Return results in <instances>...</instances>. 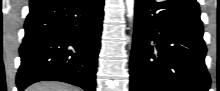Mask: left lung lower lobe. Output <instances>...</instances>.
<instances>
[{"label": "left lung lower lobe", "mask_w": 220, "mask_h": 91, "mask_svg": "<svg viewBox=\"0 0 220 91\" xmlns=\"http://www.w3.org/2000/svg\"><path fill=\"white\" fill-rule=\"evenodd\" d=\"M196 0H136L130 91H208Z\"/></svg>", "instance_id": "obj_1"}]
</instances>
